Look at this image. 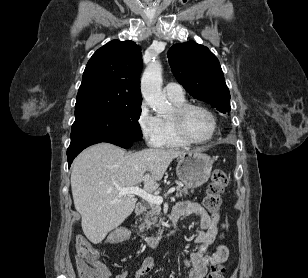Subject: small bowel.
<instances>
[{
	"label": "small bowel",
	"mask_w": 308,
	"mask_h": 278,
	"mask_svg": "<svg viewBox=\"0 0 308 278\" xmlns=\"http://www.w3.org/2000/svg\"><path fill=\"white\" fill-rule=\"evenodd\" d=\"M173 212L178 218L185 215H197L200 217L199 230L195 236V242L198 249L192 252L189 258L184 259V265L189 268V278H205L208 269L214 264L226 261L229 251L226 245L219 244L212 255H207L206 251L215 241L222 240L224 233L219 229V213L209 214L204 207L192 201H183L178 203ZM224 228V226H222ZM154 267V260L146 258L141 267L137 270L134 278H144ZM110 269L101 264L98 278H110ZM127 271H122L115 278H126Z\"/></svg>",
	"instance_id": "1"
}]
</instances>
